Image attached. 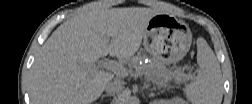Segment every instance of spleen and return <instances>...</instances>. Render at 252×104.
<instances>
[{
  "label": "spleen",
  "mask_w": 252,
  "mask_h": 104,
  "mask_svg": "<svg viewBox=\"0 0 252 104\" xmlns=\"http://www.w3.org/2000/svg\"><path fill=\"white\" fill-rule=\"evenodd\" d=\"M197 50L199 71L195 80L186 86V97L193 104H220L223 97L220 65L203 38H198Z\"/></svg>",
  "instance_id": "1"
}]
</instances>
